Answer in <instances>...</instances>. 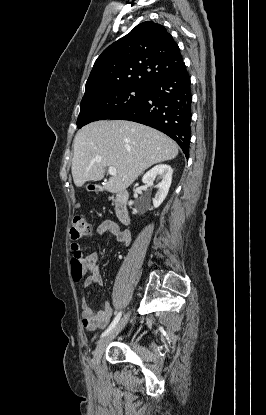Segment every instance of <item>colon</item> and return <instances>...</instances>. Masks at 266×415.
Masks as SVG:
<instances>
[{"label":"colon","mask_w":266,"mask_h":415,"mask_svg":"<svg viewBox=\"0 0 266 415\" xmlns=\"http://www.w3.org/2000/svg\"><path fill=\"white\" fill-rule=\"evenodd\" d=\"M93 233L92 225L85 216L78 215L73 219L71 227V237L73 239H79L82 237H89ZM72 259V273L75 279H80L83 273V264L79 255H73Z\"/></svg>","instance_id":"obj_1"}]
</instances>
